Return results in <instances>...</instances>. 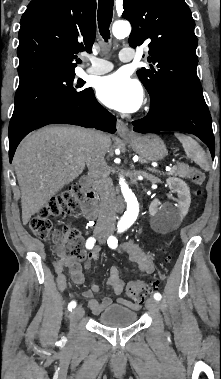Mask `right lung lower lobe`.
<instances>
[{"label": "right lung lower lobe", "instance_id": "98d812e1", "mask_svg": "<svg viewBox=\"0 0 221 379\" xmlns=\"http://www.w3.org/2000/svg\"><path fill=\"white\" fill-rule=\"evenodd\" d=\"M63 123L96 128L109 133L116 131V118L101 106L91 89L80 101L46 113L9 137V159L12 161L20 141L31 131L48 124Z\"/></svg>", "mask_w": 221, "mask_h": 379}]
</instances>
